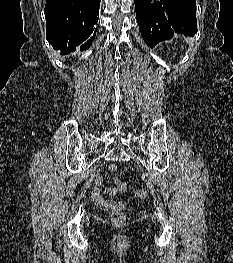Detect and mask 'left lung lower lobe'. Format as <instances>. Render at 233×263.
Masks as SVG:
<instances>
[{
	"mask_svg": "<svg viewBox=\"0 0 233 263\" xmlns=\"http://www.w3.org/2000/svg\"><path fill=\"white\" fill-rule=\"evenodd\" d=\"M141 35L149 47L177 33L197 32L195 0H134Z\"/></svg>",
	"mask_w": 233,
	"mask_h": 263,
	"instance_id": "1",
	"label": "left lung lower lobe"
}]
</instances>
